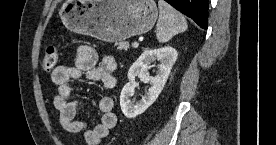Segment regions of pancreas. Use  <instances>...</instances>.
<instances>
[{"label":"pancreas","instance_id":"obj_1","mask_svg":"<svg viewBox=\"0 0 276 145\" xmlns=\"http://www.w3.org/2000/svg\"><path fill=\"white\" fill-rule=\"evenodd\" d=\"M116 45L118 46L119 50L128 51V49L130 48L129 42H120V43H118Z\"/></svg>","mask_w":276,"mask_h":145}]
</instances>
